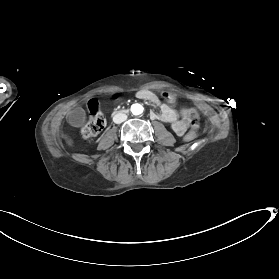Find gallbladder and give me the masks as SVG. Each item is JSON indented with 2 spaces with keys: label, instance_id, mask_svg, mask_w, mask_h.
I'll use <instances>...</instances> for the list:
<instances>
[{
  "label": "gallbladder",
  "instance_id": "gallbladder-1",
  "mask_svg": "<svg viewBox=\"0 0 279 279\" xmlns=\"http://www.w3.org/2000/svg\"><path fill=\"white\" fill-rule=\"evenodd\" d=\"M69 119H70L71 123L78 125V124L82 123L84 116H83L82 112L75 110V111L71 112Z\"/></svg>",
  "mask_w": 279,
  "mask_h": 279
}]
</instances>
